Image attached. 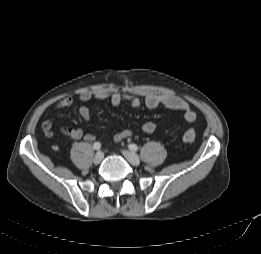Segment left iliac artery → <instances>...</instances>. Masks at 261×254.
<instances>
[{
    "mask_svg": "<svg viewBox=\"0 0 261 254\" xmlns=\"http://www.w3.org/2000/svg\"><path fill=\"white\" fill-rule=\"evenodd\" d=\"M128 147L132 151H138V146L136 144H129Z\"/></svg>",
    "mask_w": 261,
    "mask_h": 254,
    "instance_id": "1",
    "label": "left iliac artery"
}]
</instances>
